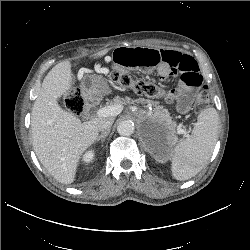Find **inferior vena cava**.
I'll use <instances>...</instances> for the list:
<instances>
[{"label":"inferior vena cava","mask_w":250,"mask_h":250,"mask_svg":"<svg viewBox=\"0 0 250 250\" xmlns=\"http://www.w3.org/2000/svg\"><path fill=\"white\" fill-rule=\"evenodd\" d=\"M113 122H114L113 118L101 119L99 124H98L99 131L104 132V133L110 131V128H111Z\"/></svg>","instance_id":"1"}]
</instances>
